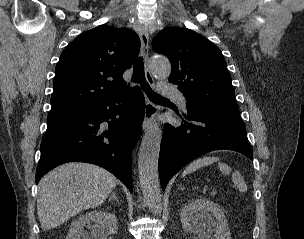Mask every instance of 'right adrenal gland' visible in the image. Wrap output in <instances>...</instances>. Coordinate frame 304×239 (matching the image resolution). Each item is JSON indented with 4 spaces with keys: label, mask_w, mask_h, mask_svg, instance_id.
Returning a JSON list of instances; mask_svg holds the SVG:
<instances>
[{
    "label": "right adrenal gland",
    "mask_w": 304,
    "mask_h": 239,
    "mask_svg": "<svg viewBox=\"0 0 304 239\" xmlns=\"http://www.w3.org/2000/svg\"><path fill=\"white\" fill-rule=\"evenodd\" d=\"M109 200H115L117 202H119V199L117 198L116 194L113 192L111 197L109 198Z\"/></svg>",
    "instance_id": "1"
}]
</instances>
